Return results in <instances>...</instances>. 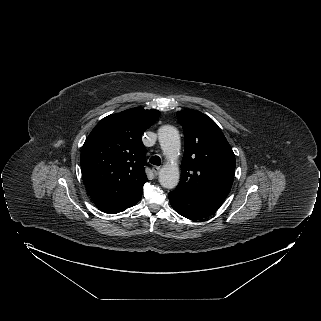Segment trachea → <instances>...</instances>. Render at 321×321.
Segmentation results:
<instances>
[{
  "instance_id": "3493384b",
  "label": "trachea",
  "mask_w": 321,
  "mask_h": 321,
  "mask_svg": "<svg viewBox=\"0 0 321 321\" xmlns=\"http://www.w3.org/2000/svg\"><path fill=\"white\" fill-rule=\"evenodd\" d=\"M149 162L153 165L159 166L161 164V159L159 156H153L150 158Z\"/></svg>"
}]
</instances>
